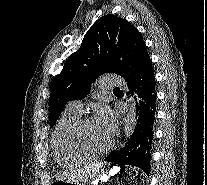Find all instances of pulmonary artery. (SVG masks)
Instances as JSON below:
<instances>
[{
	"instance_id": "obj_1",
	"label": "pulmonary artery",
	"mask_w": 207,
	"mask_h": 185,
	"mask_svg": "<svg viewBox=\"0 0 207 185\" xmlns=\"http://www.w3.org/2000/svg\"><path fill=\"white\" fill-rule=\"evenodd\" d=\"M98 86H102V91H113V86H124V81H121V77H102V81H98ZM67 111L81 114L82 103L80 101H72L67 105Z\"/></svg>"
}]
</instances>
